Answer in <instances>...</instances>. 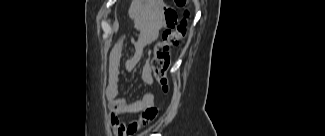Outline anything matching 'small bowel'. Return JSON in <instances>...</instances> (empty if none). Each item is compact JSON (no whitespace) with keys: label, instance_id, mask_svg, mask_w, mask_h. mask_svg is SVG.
<instances>
[{"label":"small bowel","instance_id":"1","mask_svg":"<svg viewBox=\"0 0 325 136\" xmlns=\"http://www.w3.org/2000/svg\"><path fill=\"white\" fill-rule=\"evenodd\" d=\"M161 28L162 20L160 17L149 21L148 26L133 42L134 55L126 62L128 70L139 62L143 49L157 39ZM122 41L123 38L112 48L109 54L105 96L110 109V123L113 132L117 136H131L153 121L157 109L154 106V96L151 93H146L136 100L119 97L120 64L123 53ZM141 77L145 84H152L153 75L148 60L143 66ZM128 113H138L139 116L129 122L121 121L120 115Z\"/></svg>","mask_w":325,"mask_h":136}]
</instances>
